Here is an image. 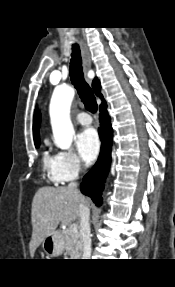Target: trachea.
I'll list each match as a JSON object with an SVG mask.
<instances>
[{
    "label": "trachea",
    "mask_w": 175,
    "mask_h": 287,
    "mask_svg": "<svg viewBox=\"0 0 175 287\" xmlns=\"http://www.w3.org/2000/svg\"><path fill=\"white\" fill-rule=\"evenodd\" d=\"M70 62V78L76 88L85 108L92 113L97 111V102L92 89L86 83L82 72V58L79 46L75 43L72 45V54Z\"/></svg>",
    "instance_id": "3493384b"
}]
</instances>
